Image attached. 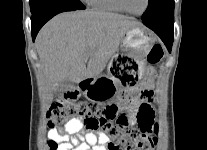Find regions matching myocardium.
I'll use <instances>...</instances> for the list:
<instances>
[{
	"mask_svg": "<svg viewBox=\"0 0 207 150\" xmlns=\"http://www.w3.org/2000/svg\"><path fill=\"white\" fill-rule=\"evenodd\" d=\"M117 2H118V4L120 5V7H121L125 12H127V13H129V14H132V15H135V16H140V15L144 14V13L147 11V9H148V7H149L150 0H146L145 7H144V9H143L142 11H140V12H133V11L129 10L128 7L126 6L124 0H117Z\"/></svg>",
	"mask_w": 207,
	"mask_h": 150,
	"instance_id": "myocardium-1",
	"label": "myocardium"
}]
</instances>
